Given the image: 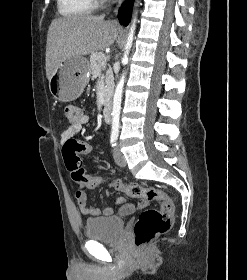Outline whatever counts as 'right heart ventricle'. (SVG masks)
<instances>
[{
    "label": "right heart ventricle",
    "instance_id": "e07e8e85",
    "mask_svg": "<svg viewBox=\"0 0 247 280\" xmlns=\"http://www.w3.org/2000/svg\"><path fill=\"white\" fill-rule=\"evenodd\" d=\"M96 0H57L58 11L62 16L85 15L95 8Z\"/></svg>",
    "mask_w": 247,
    "mask_h": 280
}]
</instances>
